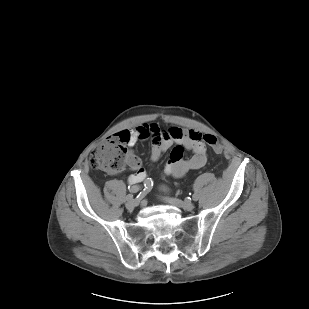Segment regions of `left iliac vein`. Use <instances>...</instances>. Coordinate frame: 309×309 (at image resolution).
Wrapping results in <instances>:
<instances>
[{
    "mask_svg": "<svg viewBox=\"0 0 309 309\" xmlns=\"http://www.w3.org/2000/svg\"><path fill=\"white\" fill-rule=\"evenodd\" d=\"M165 201L170 203L171 205H173L175 207L183 208L184 210H187V211H191L195 207L194 204L190 201L183 202V201L176 199V198H165Z\"/></svg>",
    "mask_w": 309,
    "mask_h": 309,
    "instance_id": "left-iliac-vein-1",
    "label": "left iliac vein"
}]
</instances>
